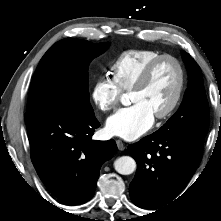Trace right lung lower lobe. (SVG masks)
<instances>
[{
    "label": "right lung lower lobe",
    "instance_id": "1",
    "mask_svg": "<svg viewBox=\"0 0 221 221\" xmlns=\"http://www.w3.org/2000/svg\"><path fill=\"white\" fill-rule=\"evenodd\" d=\"M33 165L49 191L67 204H82L95 192L99 170L111 159L114 140L94 141V115L41 108L25 114Z\"/></svg>",
    "mask_w": 221,
    "mask_h": 221
}]
</instances>
